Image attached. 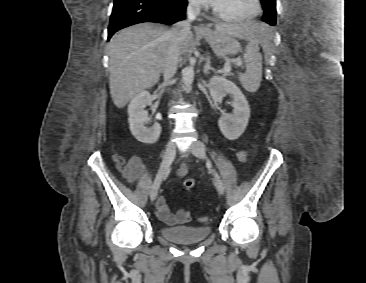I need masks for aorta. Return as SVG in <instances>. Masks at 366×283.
Listing matches in <instances>:
<instances>
[{
  "label": "aorta",
  "instance_id": "1",
  "mask_svg": "<svg viewBox=\"0 0 366 283\" xmlns=\"http://www.w3.org/2000/svg\"><path fill=\"white\" fill-rule=\"evenodd\" d=\"M194 81V67L189 65L183 70L182 82L185 86H190Z\"/></svg>",
  "mask_w": 366,
  "mask_h": 283
}]
</instances>
